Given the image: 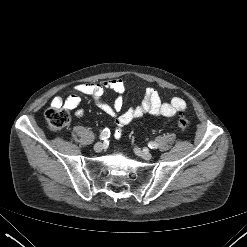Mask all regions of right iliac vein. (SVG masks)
<instances>
[{"mask_svg":"<svg viewBox=\"0 0 247 247\" xmlns=\"http://www.w3.org/2000/svg\"><path fill=\"white\" fill-rule=\"evenodd\" d=\"M104 149V144L102 142H98L94 145L95 152H101Z\"/></svg>","mask_w":247,"mask_h":247,"instance_id":"63e3f726","label":"right iliac vein"}]
</instances>
